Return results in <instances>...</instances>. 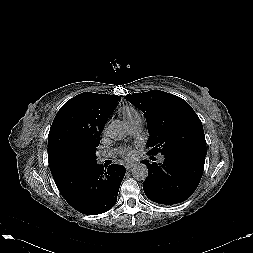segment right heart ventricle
I'll use <instances>...</instances> for the list:
<instances>
[{"label": "right heart ventricle", "mask_w": 253, "mask_h": 253, "mask_svg": "<svg viewBox=\"0 0 253 253\" xmlns=\"http://www.w3.org/2000/svg\"><path fill=\"white\" fill-rule=\"evenodd\" d=\"M120 112L126 122H130L140 118L139 113L130 106L122 107Z\"/></svg>", "instance_id": "obj_1"}]
</instances>
